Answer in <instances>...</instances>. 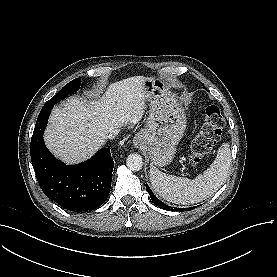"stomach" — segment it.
Returning <instances> with one entry per match:
<instances>
[{
	"label": "stomach",
	"mask_w": 277,
	"mask_h": 277,
	"mask_svg": "<svg viewBox=\"0 0 277 277\" xmlns=\"http://www.w3.org/2000/svg\"><path fill=\"white\" fill-rule=\"evenodd\" d=\"M150 110L147 125L135 137L140 143L152 164L164 167L170 164L175 156L176 147L186 129L184 110L161 79L144 77Z\"/></svg>",
	"instance_id": "0dacf381"
}]
</instances>
